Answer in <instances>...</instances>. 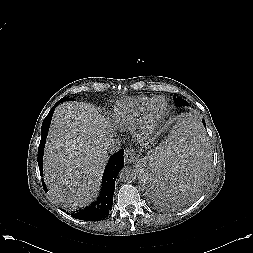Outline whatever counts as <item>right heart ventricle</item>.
Here are the masks:
<instances>
[{
  "mask_svg": "<svg viewBox=\"0 0 253 253\" xmlns=\"http://www.w3.org/2000/svg\"><path fill=\"white\" fill-rule=\"evenodd\" d=\"M151 99L147 96H138L118 101L111 114L113 122L121 129L135 128Z\"/></svg>",
  "mask_w": 253,
  "mask_h": 253,
  "instance_id": "obj_1",
  "label": "right heart ventricle"
}]
</instances>
